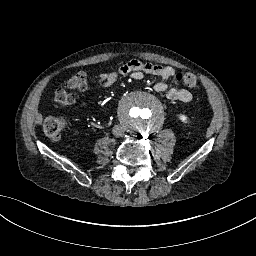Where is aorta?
<instances>
[{
	"label": "aorta",
	"instance_id": "obj_1",
	"mask_svg": "<svg viewBox=\"0 0 256 256\" xmlns=\"http://www.w3.org/2000/svg\"><path fill=\"white\" fill-rule=\"evenodd\" d=\"M121 122L141 134H151L158 131L165 120L162 104L141 92L125 95L118 106Z\"/></svg>",
	"mask_w": 256,
	"mask_h": 256
}]
</instances>
